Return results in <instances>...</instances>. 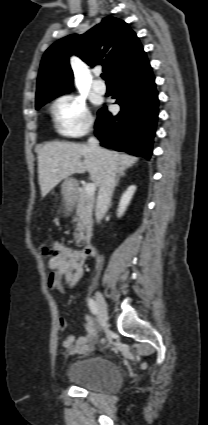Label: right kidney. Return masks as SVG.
<instances>
[{"mask_svg":"<svg viewBox=\"0 0 208 425\" xmlns=\"http://www.w3.org/2000/svg\"><path fill=\"white\" fill-rule=\"evenodd\" d=\"M136 190L135 185H131L127 188V190L122 194L120 202H119V208L117 210V216L121 217L123 213L126 210V207L128 206L130 200L132 199V196Z\"/></svg>","mask_w":208,"mask_h":425,"instance_id":"obj_1","label":"right kidney"}]
</instances>
